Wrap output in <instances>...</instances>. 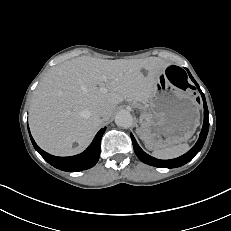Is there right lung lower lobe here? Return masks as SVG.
<instances>
[{
  "label": "right lung lower lobe",
  "instance_id": "obj_1",
  "mask_svg": "<svg viewBox=\"0 0 231 231\" xmlns=\"http://www.w3.org/2000/svg\"><path fill=\"white\" fill-rule=\"evenodd\" d=\"M105 130L106 128H103L96 134L92 143L84 152L71 157H57L46 153L35 143L30 131L29 134L34 148L49 164L66 172H76L89 169L97 163L100 156L101 138Z\"/></svg>",
  "mask_w": 231,
  "mask_h": 231
}]
</instances>
